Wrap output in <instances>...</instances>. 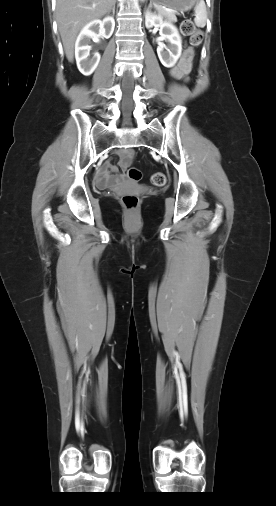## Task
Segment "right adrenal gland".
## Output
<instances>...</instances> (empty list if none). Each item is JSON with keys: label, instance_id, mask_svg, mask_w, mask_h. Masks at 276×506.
<instances>
[{"label": "right adrenal gland", "instance_id": "obj_1", "mask_svg": "<svg viewBox=\"0 0 276 506\" xmlns=\"http://www.w3.org/2000/svg\"><path fill=\"white\" fill-rule=\"evenodd\" d=\"M112 12H113V15H114L115 14V3L113 4Z\"/></svg>", "mask_w": 276, "mask_h": 506}]
</instances>
